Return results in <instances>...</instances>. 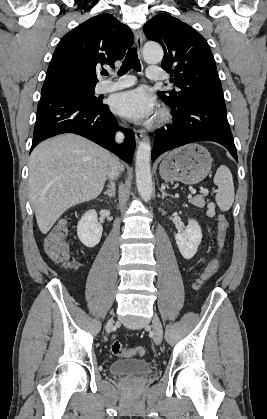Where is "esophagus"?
Here are the masks:
<instances>
[{
    "label": "esophagus",
    "instance_id": "34e87169",
    "mask_svg": "<svg viewBox=\"0 0 267 419\" xmlns=\"http://www.w3.org/2000/svg\"><path fill=\"white\" fill-rule=\"evenodd\" d=\"M142 45H143V34L140 30L135 33V47L138 51V54L141 55L142 52ZM145 131L144 130H136L135 131V138L137 142L144 137Z\"/></svg>",
    "mask_w": 267,
    "mask_h": 419
}]
</instances>
